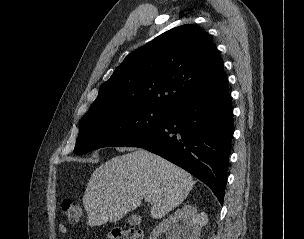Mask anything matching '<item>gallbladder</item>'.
Listing matches in <instances>:
<instances>
[{
    "label": "gallbladder",
    "instance_id": "obj_1",
    "mask_svg": "<svg viewBox=\"0 0 304 239\" xmlns=\"http://www.w3.org/2000/svg\"><path fill=\"white\" fill-rule=\"evenodd\" d=\"M128 222H129L130 224H133L132 218H131V217L129 218Z\"/></svg>",
    "mask_w": 304,
    "mask_h": 239
}]
</instances>
